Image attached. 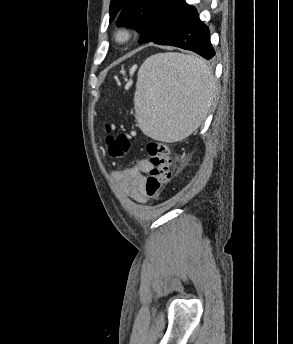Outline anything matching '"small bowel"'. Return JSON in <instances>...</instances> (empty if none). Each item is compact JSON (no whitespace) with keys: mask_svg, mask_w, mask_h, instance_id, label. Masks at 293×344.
I'll return each mask as SVG.
<instances>
[{"mask_svg":"<svg viewBox=\"0 0 293 344\" xmlns=\"http://www.w3.org/2000/svg\"><path fill=\"white\" fill-rule=\"evenodd\" d=\"M152 169L151 163L146 159L119 172L118 178L125 195L138 203L146 202L144 189L145 174Z\"/></svg>","mask_w":293,"mask_h":344,"instance_id":"1","label":"small bowel"}]
</instances>
